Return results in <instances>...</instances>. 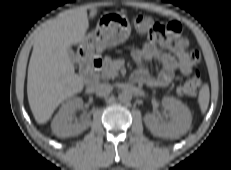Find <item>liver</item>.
<instances>
[{"mask_svg": "<svg viewBox=\"0 0 231 170\" xmlns=\"http://www.w3.org/2000/svg\"><path fill=\"white\" fill-rule=\"evenodd\" d=\"M96 14L91 9L90 17ZM88 28L87 9L79 7L59 14L39 32L27 78L28 101L37 123H46L60 103L83 90L68 48L83 42Z\"/></svg>", "mask_w": 231, "mask_h": 170, "instance_id": "obj_1", "label": "liver"}]
</instances>
